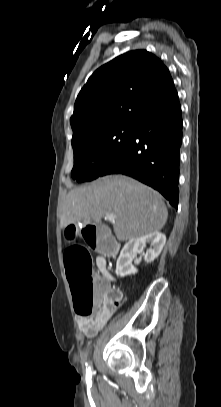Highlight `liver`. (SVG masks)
<instances>
[{"label": "liver", "mask_w": 221, "mask_h": 407, "mask_svg": "<svg viewBox=\"0 0 221 407\" xmlns=\"http://www.w3.org/2000/svg\"><path fill=\"white\" fill-rule=\"evenodd\" d=\"M107 214L115 217L111 222L120 241L158 232L168 218L159 193L127 176L110 175L71 190L60 223L62 227L76 221L97 225Z\"/></svg>", "instance_id": "6515ba94"}]
</instances>
